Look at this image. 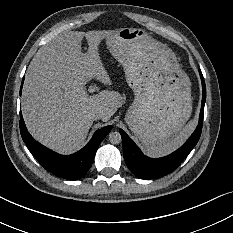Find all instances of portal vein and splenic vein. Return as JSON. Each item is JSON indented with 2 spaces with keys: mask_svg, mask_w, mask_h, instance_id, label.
<instances>
[{
  "mask_svg": "<svg viewBox=\"0 0 233 233\" xmlns=\"http://www.w3.org/2000/svg\"><path fill=\"white\" fill-rule=\"evenodd\" d=\"M92 88L88 89V92H91Z\"/></svg>",
  "mask_w": 233,
  "mask_h": 233,
  "instance_id": "portal-vein-and-splenic-vein-1",
  "label": "portal vein and splenic vein"
}]
</instances>
